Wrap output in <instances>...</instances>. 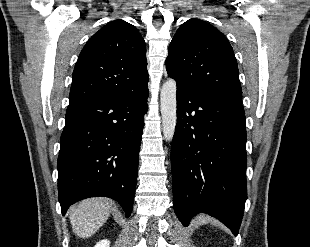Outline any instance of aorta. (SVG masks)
<instances>
[{"mask_svg":"<svg viewBox=\"0 0 310 247\" xmlns=\"http://www.w3.org/2000/svg\"><path fill=\"white\" fill-rule=\"evenodd\" d=\"M176 90L175 80L169 79L163 84L160 94L163 135L168 142L173 139L177 122Z\"/></svg>","mask_w":310,"mask_h":247,"instance_id":"obj_1","label":"aorta"}]
</instances>
